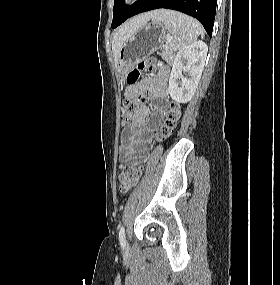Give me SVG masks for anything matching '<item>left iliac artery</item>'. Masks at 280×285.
Listing matches in <instances>:
<instances>
[{
	"label": "left iliac artery",
	"mask_w": 280,
	"mask_h": 285,
	"mask_svg": "<svg viewBox=\"0 0 280 285\" xmlns=\"http://www.w3.org/2000/svg\"><path fill=\"white\" fill-rule=\"evenodd\" d=\"M119 241H120L121 246L124 248L126 245V238H125V230L123 226H121L120 231H119Z\"/></svg>",
	"instance_id": "obj_1"
}]
</instances>
